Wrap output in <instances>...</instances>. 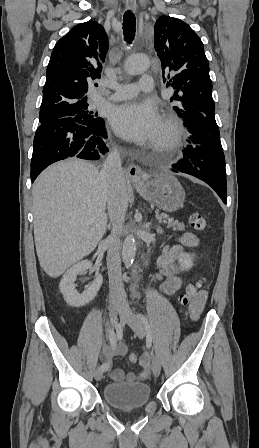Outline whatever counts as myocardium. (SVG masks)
I'll return each instance as SVG.
<instances>
[{
    "instance_id": "obj_1",
    "label": "myocardium",
    "mask_w": 259,
    "mask_h": 448,
    "mask_svg": "<svg viewBox=\"0 0 259 448\" xmlns=\"http://www.w3.org/2000/svg\"><path fill=\"white\" fill-rule=\"evenodd\" d=\"M162 126L165 130V136L156 147L174 150L181 136V124L178 117L174 113H168L162 120Z\"/></svg>"
}]
</instances>
